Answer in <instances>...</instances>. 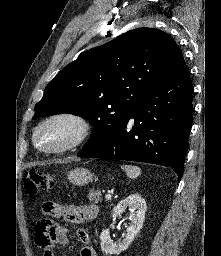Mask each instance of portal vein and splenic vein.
<instances>
[{"mask_svg": "<svg viewBox=\"0 0 221 256\" xmlns=\"http://www.w3.org/2000/svg\"><path fill=\"white\" fill-rule=\"evenodd\" d=\"M105 198H106L107 200H111L112 196H111L110 194H106V195H105Z\"/></svg>", "mask_w": 221, "mask_h": 256, "instance_id": "18ae733b", "label": "portal vein and splenic vein"}]
</instances>
